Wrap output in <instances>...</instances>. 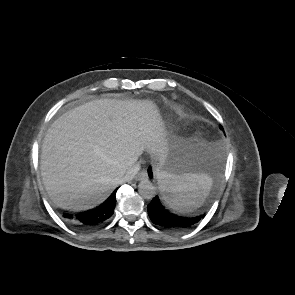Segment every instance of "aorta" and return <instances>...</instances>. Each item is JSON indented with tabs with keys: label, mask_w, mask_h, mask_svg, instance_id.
Instances as JSON below:
<instances>
[{
	"label": "aorta",
	"mask_w": 295,
	"mask_h": 295,
	"mask_svg": "<svg viewBox=\"0 0 295 295\" xmlns=\"http://www.w3.org/2000/svg\"><path fill=\"white\" fill-rule=\"evenodd\" d=\"M138 191L139 194L146 199H151L156 194L155 186L148 179H144L139 183Z\"/></svg>",
	"instance_id": "1"
}]
</instances>
